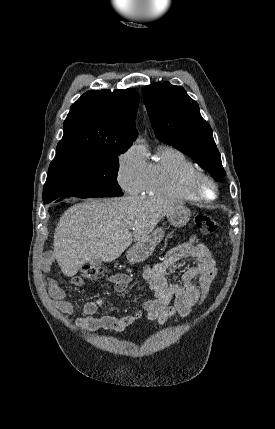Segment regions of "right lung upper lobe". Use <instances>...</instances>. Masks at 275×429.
Returning a JSON list of instances; mask_svg holds the SVG:
<instances>
[{"mask_svg":"<svg viewBox=\"0 0 275 429\" xmlns=\"http://www.w3.org/2000/svg\"><path fill=\"white\" fill-rule=\"evenodd\" d=\"M139 95L134 89L96 90L70 108L56 154L126 151L136 139Z\"/></svg>","mask_w":275,"mask_h":429,"instance_id":"cb5924a9","label":"right lung upper lobe"}]
</instances>
